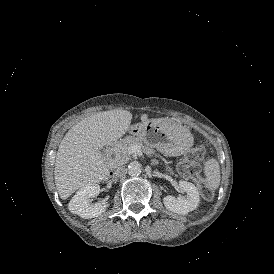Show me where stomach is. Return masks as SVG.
Returning <instances> with one entry per match:
<instances>
[{
	"mask_svg": "<svg viewBox=\"0 0 274 274\" xmlns=\"http://www.w3.org/2000/svg\"><path fill=\"white\" fill-rule=\"evenodd\" d=\"M177 125L179 124L168 118L148 119L132 125L129 133L165 156H179L192 146V135L189 130L176 134Z\"/></svg>",
	"mask_w": 274,
	"mask_h": 274,
	"instance_id": "obj_1",
	"label": "stomach"
}]
</instances>
